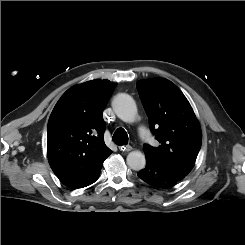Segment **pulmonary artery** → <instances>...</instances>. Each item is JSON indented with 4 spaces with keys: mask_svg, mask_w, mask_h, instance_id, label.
I'll list each match as a JSON object with an SVG mask.
<instances>
[{
    "mask_svg": "<svg viewBox=\"0 0 245 245\" xmlns=\"http://www.w3.org/2000/svg\"><path fill=\"white\" fill-rule=\"evenodd\" d=\"M138 131H139V135L141 136L142 139H144L148 143H152L153 138H152L149 130L145 126L140 125L138 127Z\"/></svg>",
    "mask_w": 245,
    "mask_h": 245,
    "instance_id": "obj_1",
    "label": "pulmonary artery"
}]
</instances>
